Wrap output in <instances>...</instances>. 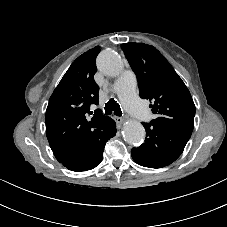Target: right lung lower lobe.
<instances>
[{
    "instance_id": "1",
    "label": "right lung lower lobe",
    "mask_w": 227,
    "mask_h": 227,
    "mask_svg": "<svg viewBox=\"0 0 227 227\" xmlns=\"http://www.w3.org/2000/svg\"><path fill=\"white\" fill-rule=\"evenodd\" d=\"M116 131V124L110 118L91 147L61 163L69 170L76 172L95 168L103 159V151L107 140L114 137Z\"/></svg>"
}]
</instances>
